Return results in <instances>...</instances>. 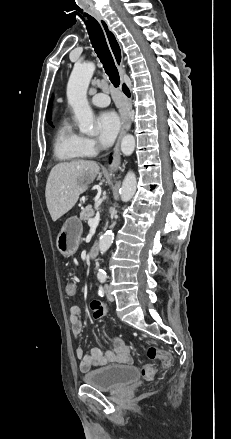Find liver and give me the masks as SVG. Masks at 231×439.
<instances>
[{
	"label": "liver",
	"mask_w": 231,
	"mask_h": 439,
	"mask_svg": "<svg viewBox=\"0 0 231 439\" xmlns=\"http://www.w3.org/2000/svg\"><path fill=\"white\" fill-rule=\"evenodd\" d=\"M99 173L95 161L78 160L55 165L47 179L45 197L53 221L71 210Z\"/></svg>",
	"instance_id": "1"
}]
</instances>
